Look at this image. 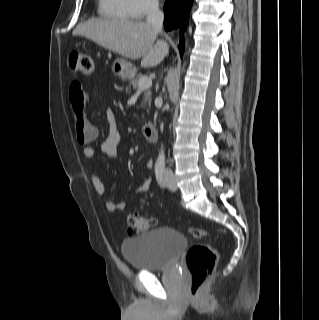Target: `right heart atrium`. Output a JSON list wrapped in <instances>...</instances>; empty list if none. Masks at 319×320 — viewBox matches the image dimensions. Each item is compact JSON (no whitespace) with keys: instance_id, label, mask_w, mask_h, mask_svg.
<instances>
[{"instance_id":"right-heart-atrium-1","label":"right heart atrium","mask_w":319,"mask_h":320,"mask_svg":"<svg viewBox=\"0 0 319 320\" xmlns=\"http://www.w3.org/2000/svg\"><path fill=\"white\" fill-rule=\"evenodd\" d=\"M129 14L133 18H144L159 9V0H125Z\"/></svg>"}]
</instances>
